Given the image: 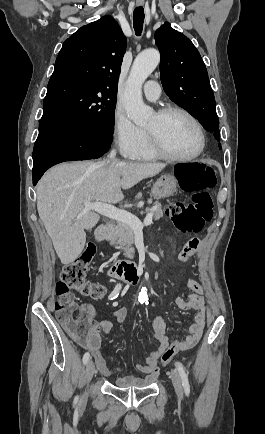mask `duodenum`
<instances>
[{
	"label": "duodenum",
	"instance_id": "410a0bca",
	"mask_svg": "<svg viewBox=\"0 0 265 434\" xmlns=\"http://www.w3.org/2000/svg\"><path fill=\"white\" fill-rule=\"evenodd\" d=\"M115 230L116 228L111 224H102L96 228L94 238L96 241H102ZM108 272L131 284H138L142 280L140 267L137 264L128 261L118 260L113 262L109 266Z\"/></svg>",
	"mask_w": 265,
	"mask_h": 434
}]
</instances>
